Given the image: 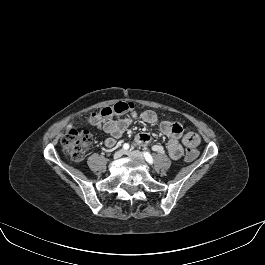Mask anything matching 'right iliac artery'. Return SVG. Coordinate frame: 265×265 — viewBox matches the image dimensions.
<instances>
[{"label":"right iliac artery","instance_id":"obj_1","mask_svg":"<svg viewBox=\"0 0 265 265\" xmlns=\"http://www.w3.org/2000/svg\"><path fill=\"white\" fill-rule=\"evenodd\" d=\"M129 147H130V146H129V144H128V143H125V144L123 145V149H124V150H128V149H129Z\"/></svg>","mask_w":265,"mask_h":265}]
</instances>
